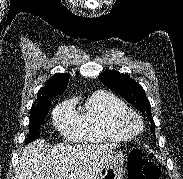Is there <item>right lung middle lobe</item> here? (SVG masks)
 <instances>
[{"mask_svg":"<svg viewBox=\"0 0 183 179\" xmlns=\"http://www.w3.org/2000/svg\"><path fill=\"white\" fill-rule=\"evenodd\" d=\"M51 107V101H48L39 106H33L30 113V124H29V134L27 135L26 144L38 139L40 136V127L45 122V117L47 116L49 109Z\"/></svg>","mask_w":183,"mask_h":179,"instance_id":"right-lung-middle-lobe-1","label":"right lung middle lobe"}]
</instances>
